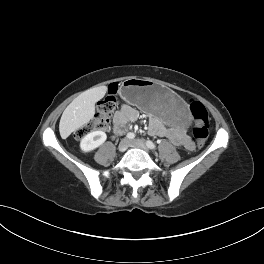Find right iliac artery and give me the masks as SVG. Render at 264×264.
<instances>
[{
	"instance_id": "82829eb1",
	"label": "right iliac artery",
	"mask_w": 264,
	"mask_h": 264,
	"mask_svg": "<svg viewBox=\"0 0 264 264\" xmlns=\"http://www.w3.org/2000/svg\"><path fill=\"white\" fill-rule=\"evenodd\" d=\"M128 139L132 140L135 138V134L134 133H128L127 136H126Z\"/></svg>"
}]
</instances>
